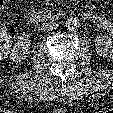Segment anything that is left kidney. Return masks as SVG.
<instances>
[{"instance_id": "5707ae66", "label": "left kidney", "mask_w": 113, "mask_h": 113, "mask_svg": "<svg viewBox=\"0 0 113 113\" xmlns=\"http://www.w3.org/2000/svg\"><path fill=\"white\" fill-rule=\"evenodd\" d=\"M96 52L99 56L113 59V40L107 35H97L94 39Z\"/></svg>"}]
</instances>
